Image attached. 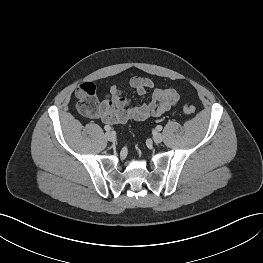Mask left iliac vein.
<instances>
[{"label":"left iliac vein","mask_w":263,"mask_h":263,"mask_svg":"<svg viewBox=\"0 0 263 263\" xmlns=\"http://www.w3.org/2000/svg\"><path fill=\"white\" fill-rule=\"evenodd\" d=\"M153 140L155 143H161L163 141V136L160 133H155L153 135Z\"/></svg>","instance_id":"4c4485c4"}]
</instances>
